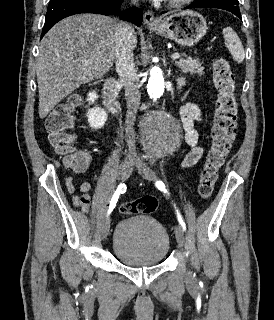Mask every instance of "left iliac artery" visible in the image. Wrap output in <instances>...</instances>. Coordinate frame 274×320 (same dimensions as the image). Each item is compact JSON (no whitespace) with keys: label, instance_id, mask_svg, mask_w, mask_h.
Returning a JSON list of instances; mask_svg holds the SVG:
<instances>
[{"label":"left iliac artery","instance_id":"obj_1","mask_svg":"<svg viewBox=\"0 0 274 320\" xmlns=\"http://www.w3.org/2000/svg\"><path fill=\"white\" fill-rule=\"evenodd\" d=\"M155 185L159 190L163 191L164 193H168V191L162 181H160V180L156 181ZM176 213H177L178 221H179L180 225L182 226L183 230L185 231L186 230L185 222H184V220L178 210H176Z\"/></svg>","mask_w":274,"mask_h":320}]
</instances>
